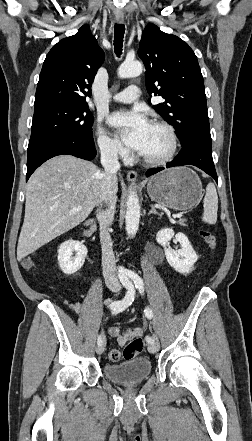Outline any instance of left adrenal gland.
<instances>
[{
	"label": "left adrenal gland",
	"instance_id": "1",
	"mask_svg": "<svg viewBox=\"0 0 252 441\" xmlns=\"http://www.w3.org/2000/svg\"><path fill=\"white\" fill-rule=\"evenodd\" d=\"M151 214H156V215L161 216V215L156 211V209H155V207L153 206V204L151 205V210L148 212V215H151Z\"/></svg>",
	"mask_w": 252,
	"mask_h": 441
}]
</instances>
